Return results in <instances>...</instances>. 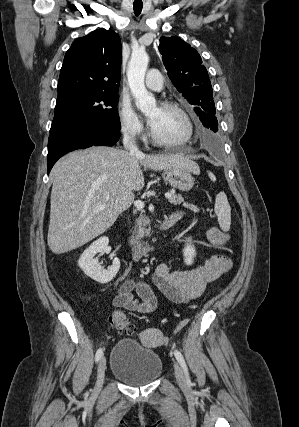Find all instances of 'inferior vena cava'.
Returning a JSON list of instances; mask_svg holds the SVG:
<instances>
[{
  "mask_svg": "<svg viewBox=\"0 0 299 427\" xmlns=\"http://www.w3.org/2000/svg\"><path fill=\"white\" fill-rule=\"evenodd\" d=\"M123 145L126 150H129L131 154H139L140 151L138 150L135 139L133 136L129 134V132L125 131L123 136Z\"/></svg>",
  "mask_w": 299,
  "mask_h": 427,
  "instance_id": "1",
  "label": "inferior vena cava"
}]
</instances>
